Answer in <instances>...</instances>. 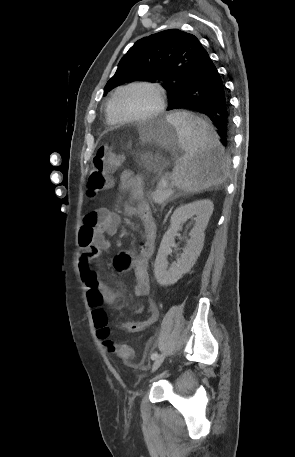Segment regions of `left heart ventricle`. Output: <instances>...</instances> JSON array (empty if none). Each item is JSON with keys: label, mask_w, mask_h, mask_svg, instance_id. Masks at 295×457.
Masks as SVG:
<instances>
[{"label": "left heart ventricle", "mask_w": 295, "mask_h": 457, "mask_svg": "<svg viewBox=\"0 0 295 457\" xmlns=\"http://www.w3.org/2000/svg\"><path fill=\"white\" fill-rule=\"evenodd\" d=\"M157 105L154 91L147 87H132L121 91L114 103L121 117H138L151 112Z\"/></svg>", "instance_id": "1"}]
</instances>
